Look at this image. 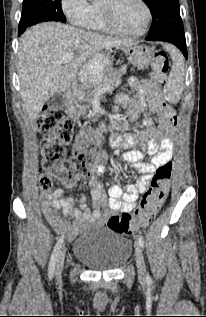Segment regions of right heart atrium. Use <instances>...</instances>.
I'll use <instances>...</instances> for the list:
<instances>
[{
	"mask_svg": "<svg viewBox=\"0 0 206 317\" xmlns=\"http://www.w3.org/2000/svg\"><path fill=\"white\" fill-rule=\"evenodd\" d=\"M61 9L68 21L76 26H88L93 12V5L88 0H61Z\"/></svg>",
	"mask_w": 206,
	"mask_h": 317,
	"instance_id": "right-heart-atrium-1",
	"label": "right heart atrium"
}]
</instances>
